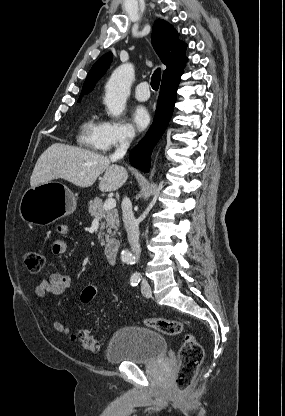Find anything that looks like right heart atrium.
Masks as SVG:
<instances>
[{
    "label": "right heart atrium",
    "mask_w": 285,
    "mask_h": 416,
    "mask_svg": "<svg viewBox=\"0 0 285 416\" xmlns=\"http://www.w3.org/2000/svg\"><path fill=\"white\" fill-rule=\"evenodd\" d=\"M130 136L131 129L126 124L108 117H102L94 145L97 150L107 152L125 144Z\"/></svg>",
    "instance_id": "right-heart-atrium-1"
}]
</instances>
